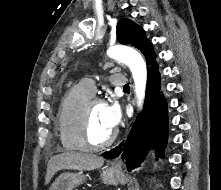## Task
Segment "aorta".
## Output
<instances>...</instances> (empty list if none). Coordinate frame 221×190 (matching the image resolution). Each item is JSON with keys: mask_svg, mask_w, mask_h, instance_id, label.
<instances>
[{"mask_svg": "<svg viewBox=\"0 0 221 190\" xmlns=\"http://www.w3.org/2000/svg\"><path fill=\"white\" fill-rule=\"evenodd\" d=\"M107 55L110 58L125 63L130 68L135 83L137 104L138 107L141 108L145 97L147 81L146 63L142 56L133 48L123 45H115L110 47L107 50Z\"/></svg>", "mask_w": 221, "mask_h": 190, "instance_id": "obj_1", "label": "aorta"}]
</instances>
